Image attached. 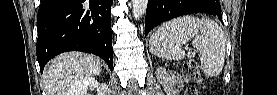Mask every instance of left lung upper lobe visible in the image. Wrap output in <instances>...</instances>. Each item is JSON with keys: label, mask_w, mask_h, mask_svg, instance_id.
<instances>
[{"label": "left lung upper lobe", "mask_w": 277, "mask_h": 95, "mask_svg": "<svg viewBox=\"0 0 277 95\" xmlns=\"http://www.w3.org/2000/svg\"><path fill=\"white\" fill-rule=\"evenodd\" d=\"M204 2H209V3H213V4L219 3L218 0H209V1H204Z\"/></svg>", "instance_id": "left-lung-upper-lobe-1"}]
</instances>
